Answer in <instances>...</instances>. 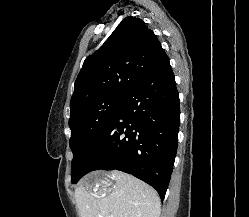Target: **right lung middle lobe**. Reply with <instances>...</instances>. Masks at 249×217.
Instances as JSON below:
<instances>
[{
  "instance_id": "right-lung-middle-lobe-1",
  "label": "right lung middle lobe",
  "mask_w": 249,
  "mask_h": 217,
  "mask_svg": "<svg viewBox=\"0 0 249 217\" xmlns=\"http://www.w3.org/2000/svg\"><path fill=\"white\" fill-rule=\"evenodd\" d=\"M124 98V95H105L84 102L71 110L69 145L73 152L72 183H77L82 177L79 168L87 152L109 125Z\"/></svg>"
}]
</instances>
